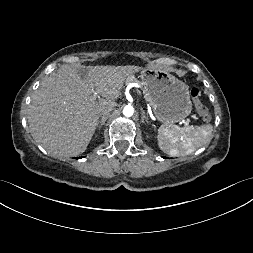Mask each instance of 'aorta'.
I'll use <instances>...</instances> for the list:
<instances>
[{
  "mask_svg": "<svg viewBox=\"0 0 253 253\" xmlns=\"http://www.w3.org/2000/svg\"><path fill=\"white\" fill-rule=\"evenodd\" d=\"M134 113V108L131 105H127L123 109V114L127 117L132 116Z\"/></svg>",
  "mask_w": 253,
  "mask_h": 253,
  "instance_id": "obj_1",
  "label": "aorta"
}]
</instances>
